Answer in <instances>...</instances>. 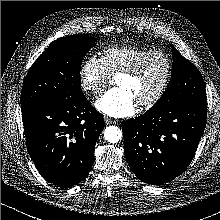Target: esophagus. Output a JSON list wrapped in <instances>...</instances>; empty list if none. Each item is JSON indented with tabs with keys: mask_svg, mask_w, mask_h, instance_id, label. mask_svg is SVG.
Masks as SVG:
<instances>
[{
	"mask_svg": "<svg viewBox=\"0 0 220 220\" xmlns=\"http://www.w3.org/2000/svg\"><path fill=\"white\" fill-rule=\"evenodd\" d=\"M104 121L106 124H112V123H115V120H113L112 118L108 117V116H105L104 117Z\"/></svg>",
	"mask_w": 220,
	"mask_h": 220,
	"instance_id": "esophagus-1",
	"label": "esophagus"
}]
</instances>
